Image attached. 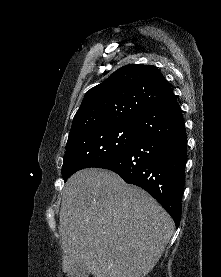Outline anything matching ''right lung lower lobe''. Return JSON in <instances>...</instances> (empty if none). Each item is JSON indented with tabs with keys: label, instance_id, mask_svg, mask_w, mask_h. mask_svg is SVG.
<instances>
[{
	"label": "right lung lower lobe",
	"instance_id": "98d812e1",
	"mask_svg": "<svg viewBox=\"0 0 221 277\" xmlns=\"http://www.w3.org/2000/svg\"><path fill=\"white\" fill-rule=\"evenodd\" d=\"M136 131L124 154L98 168L111 170L125 182L146 190L168 211L178 227L185 184L187 136L175 96L139 117Z\"/></svg>",
	"mask_w": 221,
	"mask_h": 277
}]
</instances>
